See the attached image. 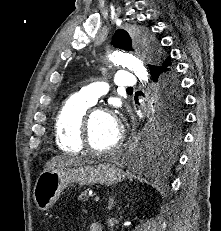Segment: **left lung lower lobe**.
Listing matches in <instances>:
<instances>
[{
    "label": "left lung lower lobe",
    "mask_w": 221,
    "mask_h": 231,
    "mask_svg": "<svg viewBox=\"0 0 221 231\" xmlns=\"http://www.w3.org/2000/svg\"><path fill=\"white\" fill-rule=\"evenodd\" d=\"M152 80L156 85V101H155V114L158 117H163L169 114L172 110V105L180 98V82L177 73L172 66L171 58L167 57L161 64L149 65ZM165 139L169 140L161 132H155L147 139L146 146L137 151L138 158L145 159L146 157L155 154L156 150L162 145Z\"/></svg>",
    "instance_id": "1"
}]
</instances>
